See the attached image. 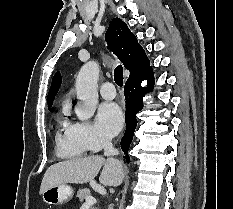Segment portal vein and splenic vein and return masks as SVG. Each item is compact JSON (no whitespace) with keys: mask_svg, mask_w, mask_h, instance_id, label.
<instances>
[{"mask_svg":"<svg viewBox=\"0 0 233 209\" xmlns=\"http://www.w3.org/2000/svg\"><path fill=\"white\" fill-rule=\"evenodd\" d=\"M96 203V199L92 196L86 198L85 203L82 205L81 209H89Z\"/></svg>","mask_w":233,"mask_h":209,"instance_id":"obj_1","label":"portal vein and splenic vein"}]
</instances>
